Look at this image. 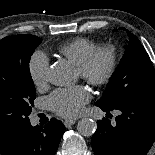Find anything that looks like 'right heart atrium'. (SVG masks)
Returning a JSON list of instances; mask_svg holds the SVG:
<instances>
[{
	"instance_id": "d8ad5b80",
	"label": "right heart atrium",
	"mask_w": 155,
	"mask_h": 155,
	"mask_svg": "<svg viewBox=\"0 0 155 155\" xmlns=\"http://www.w3.org/2000/svg\"><path fill=\"white\" fill-rule=\"evenodd\" d=\"M49 60L42 52H35L28 63V73L36 88L45 86L48 78Z\"/></svg>"
}]
</instances>
